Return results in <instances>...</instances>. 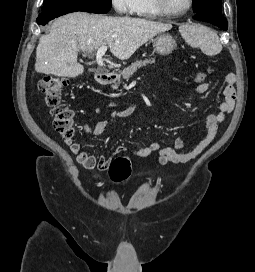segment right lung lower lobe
<instances>
[{
	"label": "right lung lower lobe",
	"instance_id": "right-lung-lower-lobe-1",
	"mask_svg": "<svg viewBox=\"0 0 255 272\" xmlns=\"http://www.w3.org/2000/svg\"><path fill=\"white\" fill-rule=\"evenodd\" d=\"M76 12L73 10H44L39 14L37 18V23L39 25H45L50 20L57 18L59 16L65 15L67 13Z\"/></svg>",
	"mask_w": 255,
	"mask_h": 272
}]
</instances>
